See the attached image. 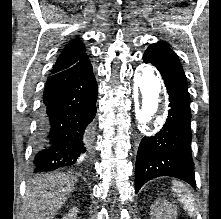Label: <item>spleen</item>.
Segmentation results:
<instances>
[{"instance_id":"1","label":"spleen","mask_w":221,"mask_h":219,"mask_svg":"<svg viewBox=\"0 0 221 219\" xmlns=\"http://www.w3.org/2000/svg\"><path fill=\"white\" fill-rule=\"evenodd\" d=\"M174 191L177 193V196L181 199V202L184 205V209L188 212L190 216L195 215L196 208L194 206V198L190 193L188 188L180 182H174Z\"/></svg>"}]
</instances>
